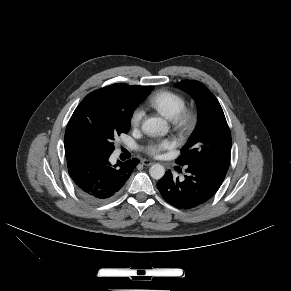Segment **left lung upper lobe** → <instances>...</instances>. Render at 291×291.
<instances>
[{
	"instance_id": "1",
	"label": "left lung upper lobe",
	"mask_w": 291,
	"mask_h": 291,
	"mask_svg": "<svg viewBox=\"0 0 291 291\" xmlns=\"http://www.w3.org/2000/svg\"><path fill=\"white\" fill-rule=\"evenodd\" d=\"M177 87L188 92L196 101L198 122L176 163H200L227 171L231 156V135L218 100L199 81L183 80Z\"/></svg>"
}]
</instances>
